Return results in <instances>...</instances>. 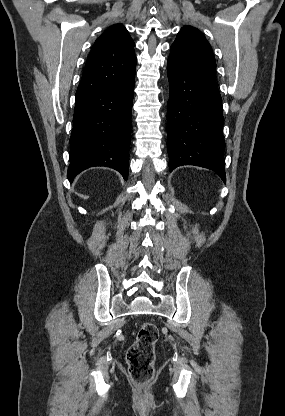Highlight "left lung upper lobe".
Instances as JSON below:
<instances>
[{"label":"left lung upper lobe","mask_w":285,"mask_h":416,"mask_svg":"<svg viewBox=\"0 0 285 416\" xmlns=\"http://www.w3.org/2000/svg\"><path fill=\"white\" fill-rule=\"evenodd\" d=\"M169 60L186 70L216 83V62L210 44L204 35L192 26H184L170 47Z\"/></svg>","instance_id":"left-lung-upper-lobe-1"}]
</instances>
